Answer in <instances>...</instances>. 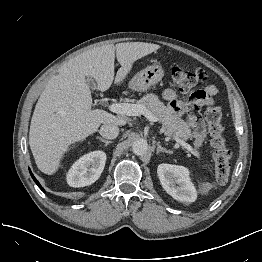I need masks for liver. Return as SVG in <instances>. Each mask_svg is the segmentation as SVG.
<instances>
[{
  "label": "liver",
  "mask_w": 262,
  "mask_h": 262,
  "mask_svg": "<svg viewBox=\"0 0 262 262\" xmlns=\"http://www.w3.org/2000/svg\"><path fill=\"white\" fill-rule=\"evenodd\" d=\"M159 48L145 42L103 45L81 53L58 69L41 93L31 119L29 145L40 171L54 174L64 154L95 133L101 124L127 123L123 116L91 108L86 77L93 78L104 92L114 80L115 53L122 66L115 77V84L120 85L135 61Z\"/></svg>",
  "instance_id": "obj_1"
}]
</instances>
